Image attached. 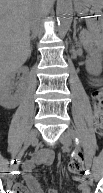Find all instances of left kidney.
Masks as SVG:
<instances>
[{"instance_id": "1", "label": "left kidney", "mask_w": 103, "mask_h": 193, "mask_svg": "<svg viewBox=\"0 0 103 193\" xmlns=\"http://www.w3.org/2000/svg\"><path fill=\"white\" fill-rule=\"evenodd\" d=\"M90 59L86 63V70L92 75H99L102 71V57L96 51L89 53Z\"/></svg>"}]
</instances>
